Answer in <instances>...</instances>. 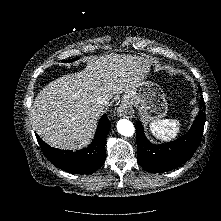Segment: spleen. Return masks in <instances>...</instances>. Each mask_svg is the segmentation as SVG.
<instances>
[{
  "label": "spleen",
  "instance_id": "spleen-1",
  "mask_svg": "<svg viewBox=\"0 0 221 221\" xmlns=\"http://www.w3.org/2000/svg\"><path fill=\"white\" fill-rule=\"evenodd\" d=\"M150 131L158 139L169 141L177 136L180 122L177 119H161L150 123Z\"/></svg>",
  "mask_w": 221,
  "mask_h": 221
}]
</instances>
